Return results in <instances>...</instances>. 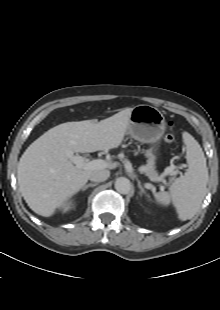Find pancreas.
Instances as JSON below:
<instances>
[{
    "label": "pancreas",
    "instance_id": "cf45deb5",
    "mask_svg": "<svg viewBox=\"0 0 220 310\" xmlns=\"http://www.w3.org/2000/svg\"><path fill=\"white\" fill-rule=\"evenodd\" d=\"M144 172L151 180L158 177L153 161L149 162V164L145 167Z\"/></svg>",
    "mask_w": 220,
    "mask_h": 310
}]
</instances>
